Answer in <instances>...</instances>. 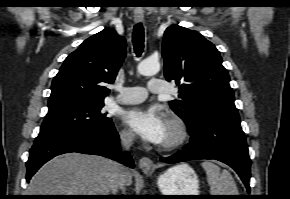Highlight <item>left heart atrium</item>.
<instances>
[{
	"instance_id": "left-heart-atrium-1",
	"label": "left heart atrium",
	"mask_w": 290,
	"mask_h": 199,
	"mask_svg": "<svg viewBox=\"0 0 290 199\" xmlns=\"http://www.w3.org/2000/svg\"><path fill=\"white\" fill-rule=\"evenodd\" d=\"M124 122L146 142L161 144L167 126L163 113L154 107H136L127 111Z\"/></svg>"
}]
</instances>
